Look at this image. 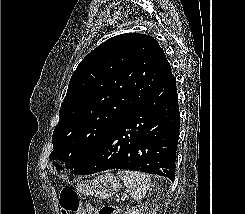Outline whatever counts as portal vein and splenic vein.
Segmentation results:
<instances>
[{
    "instance_id": "portal-vein-and-splenic-vein-1",
    "label": "portal vein and splenic vein",
    "mask_w": 245,
    "mask_h": 214,
    "mask_svg": "<svg viewBox=\"0 0 245 214\" xmlns=\"http://www.w3.org/2000/svg\"><path fill=\"white\" fill-rule=\"evenodd\" d=\"M127 197H128L127 194H125L123 197H121L120 200H121V201H125V200L127 199Z\"/></svg>"
}]
</instances>
